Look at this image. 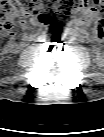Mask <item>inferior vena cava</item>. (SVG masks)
<instances>
[{
  "label": "inferior vena cava",
  "mask_w": 104,
  "mask_h": 137,
  "mask_svg": "<svg viewBox=\"0 0 104 137\" xmlns=\"http://www.w3.org/2000/svg\"><path fill=\"white\" fill-rule=\"evenodd\" d=\"M38 44H39V46L40 47H43V48H45V47H48L49 46V39L46 37V36H39L38 37Z\"/></svg>",
  "instance_id": "602c4592"
}]
</instances>
